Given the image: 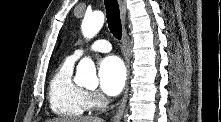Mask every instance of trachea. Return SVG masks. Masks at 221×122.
Returning a JSON list of instances; mask_svg holds the SVG:
<instances>
[{"label":"trachea","instance_id":"3493384b","mask_svg":"<svg viewBox=\"0 0 221 122\" xmlns=\"http://www.w3.org/2000/svg\"><path fill=\"white\" fill-rule=\"evenodd\" d=\"M106 17L110 32L120 40L122 36V26L117 0H105Z\"/></svg>","mask_w":221,"mask_h":122}]
</instances>
